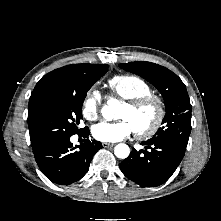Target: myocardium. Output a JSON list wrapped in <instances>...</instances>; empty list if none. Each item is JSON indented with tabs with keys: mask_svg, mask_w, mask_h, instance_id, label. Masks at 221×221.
Segmentation results:
<instances>
[{
	"mask_svg": "<svg viewBox=\"0 0 221 221\" xmlns=\"http://www.w3.org/2000/svg\"><path fill=\"white\" fill-rule=\"evenodd\" d=\"M124 105L132 111H140L147 106H153L155 108L156 113L152 123L146 128L135 129L138 138L148 139L160 129L166 110L165 103L159 95L151 92L134 100H127Z\"/></svg>",
	"mask_w": 221,
	"mask_h": 221,
	"instance_id": "myocardium-1",
	"label": "myocardium"
}]
</instances>
